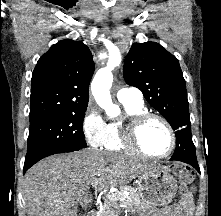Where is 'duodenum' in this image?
<instances>
[{"label": "duodenum", "mask_w": 221, "mask_h": 216, "mask_svg": "<svg viewBox=\"0 0 221 216\" xmlns=\"http://www.w3.org/2000/svg\"><path fill=\"white\" fill-rule=\"evenodd\" d=\"M86 216H95L94 211H89V213Z\"/></svg>", "instance_id": "duodenum-1"}]
</instances>
